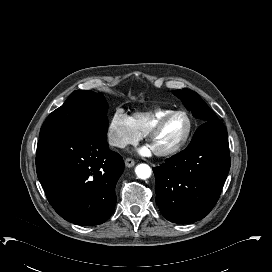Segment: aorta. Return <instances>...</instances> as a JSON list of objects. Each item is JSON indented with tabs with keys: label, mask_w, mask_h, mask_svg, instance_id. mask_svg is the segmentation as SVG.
<instances>
[{
	"label": "aorta",
	"mask_w": 272,
	"mask_h": 272,
	"mask_svg": "<svg viewBox=\"0 0 272 272\" xmlns=\"http://www.w3.org/2000/svg\"><path fill=\"white\" fill-rule=\"evenodd\" d=\"M135 173L140 179H148L151 176V168L147 164H139L135 168Z\"/></svg>",
	"instance_id": "aorta-1"
}]
</instances>
